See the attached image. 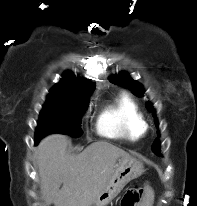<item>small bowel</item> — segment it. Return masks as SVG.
Instances as JSON below:
<instances>
[{"mask_svg":"<svg viewBox=\"0 0 197 206\" xmlns=\"http://www.w3.org/2000/svg\"><path fill=\"white\" fill-rule=\"evenodd\" d=\"M150 195H151V190H149V192L145 194V196H150ZM133 206H139V202H136L135 204H133Z\"/></svg>","mask_w":197,"mask_h":206,"instance_id":"small-bowel-1","label":"small bowel"}]
</instances>
